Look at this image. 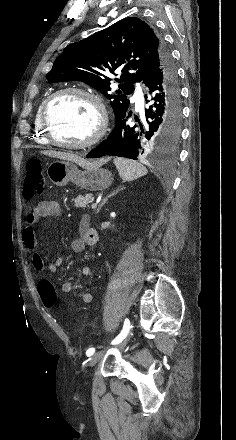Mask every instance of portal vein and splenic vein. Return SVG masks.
I'll list each match as a JSON object with an SVG mask.
<instances>
[{
	"label": "portal vein and splenic vein",
	"instance_id": "obj_1",
	"mask_svg": "<svg viewBox=\"0 0 236 440\" xmlns=\"http://www.w3.org/2000/svg\"><path fill=\"white\" fill-rule=\"evenodd\" d=\"M97 206V203L92 204V209H95Z\"/></svg>",
	"mask_w": 236,
	"mask_h": 440
}]
</instances>
